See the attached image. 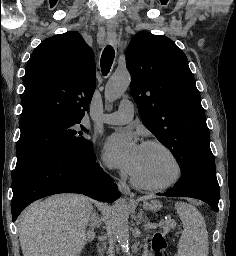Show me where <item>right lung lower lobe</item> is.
Segmentation results:
<instances>
[{"instance_id":"obj_1","label":"right lung lower lobe","mask_w":236,"mask_h":256,"mask_svg":"<svg viewBox=\"0 0 236 256\" xmlns=\"http://www.w3.org/2000/svg\"><path fill=\"white\" fill-rule=\"evenodd\" d=\"M95 160L92 147L81 153L44 152L18 162L12 177V220L33 201L58 193L115 201L121 193Z\"/></svg>"}]
</instances>
